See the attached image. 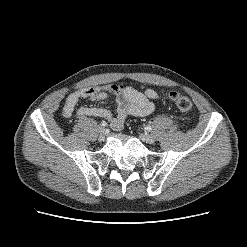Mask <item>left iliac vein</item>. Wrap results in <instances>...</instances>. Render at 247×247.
Listing matches in <instances>:
<instances>
[{
  "instance_id": "4c4485c4",
  "label": "left iliac vein",
  "mask_w": 247,
  "mask_h": 247,
  "mask_svg": "<svg viewBox=\"0 0 247 247\" xmlns=\"http://www.w3.org/2000/svg\"><path fill=\"white\" fill-rule=\"evenodd\" d=\"M142 138L144 140H146V142L149 143V144H153L155 142L154 136L150 135V134H144V135H142Z\"/></svg>"
}]
</instances>
